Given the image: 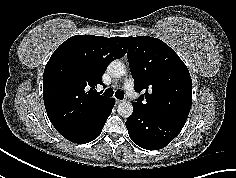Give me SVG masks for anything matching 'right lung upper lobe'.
I'll list each match as a JSON object with an SVG mask.
<instances>
[{"label":"right lung upper lobe","instance_id":"right-lung-upper-lobe-1","mask_svg":"<svg viewBox=\"0 0 236 178\" xmlns=\"http://www.w3.org/2000/svg\"><path fill=\"white\" fill-rule=\"evenodd\" d=\"M122 37L75 35L63 42L47 62L43 98L55 129L69 137L84 133L103 118L113 99L96 92L108 64L123 57Z\"/></svg>","mask_w":236,"mask_h":178}]
</instances>
